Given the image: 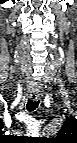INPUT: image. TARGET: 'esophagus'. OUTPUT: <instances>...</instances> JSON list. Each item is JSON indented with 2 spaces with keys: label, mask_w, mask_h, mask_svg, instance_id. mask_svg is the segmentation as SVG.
Listing matches in <instances>:
<instances>
[{
  "label": "esophagus",
  "mask_w": 77,
  "mask_h": 143,
  "mask_svg": "<svg viewBox=\"0 0 77 143\" xmlns=\"http://www.w3.org/2000/svg\"><path fill=\"white\" fill-rule=\"evenodd\" d=\"M39 94L38 93H30V98L33 100V101H37L39 99Z\"/></svg>",
  "instance_id": "esophagus-1"
}]
</instances>
